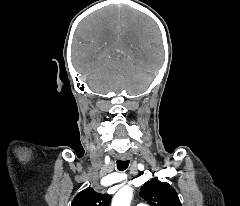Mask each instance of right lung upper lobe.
Here are the masks:
<instances>
[{"label":"right lung upper lobe","mask_w":240,"mask_h":206,"mask_svg":"<svg viewBox=\"0 0 240 206\" xmlns=\"http://www.w3.org/2000/svg\"><path fill=\"white\" fill-rule=\"evenodd\" d=\"M111 195L95 192L92 188H86L79 192L71 206H109Z\"/></svg>","instance_id":"1"}]
</instances>
